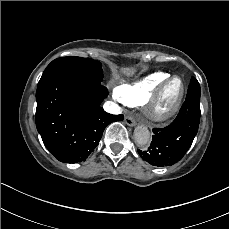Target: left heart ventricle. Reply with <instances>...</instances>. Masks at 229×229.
I'll return each mask as SVG.
<instances>
[{
  "instance_id": "1",
  "label": "left heart ventricle",
  "mask_w": 229,
  "mask_h": 229,
  "mask_svg": "<svg viewBox=\"0 0 229 229\" xmlns=\"http://www.w3.org/2000/svg\"><path fill=\"white\" fill-rule=\"evenodd\" d=\"M181 90L182 87L179 81H175L171 87H167L161 93V99L158 101V108L161 111H168L171 108V103L179 97Z\"/></svg>"
}]
</instances>
